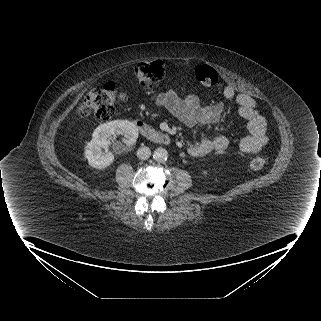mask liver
Returning <instances> with one entry per match:
<instances>
[{
	"label": "liver",
	"mask_w": 321,
	"mask_h": 321,
	"mask_svg": "<svg viewBox=\"0 0 321 321\" xmlns=\"http://www.w3.org/2000/svg\"><path fill=\"white\" fill-rule=\"evenodd\" d=\"M83 106H84V104H80V106L78 107V109H77V111H76L77 114L80 113V112L84 109Z\"/></svg>",
	"instance_id": "6515ba94"
}]
</instances>
